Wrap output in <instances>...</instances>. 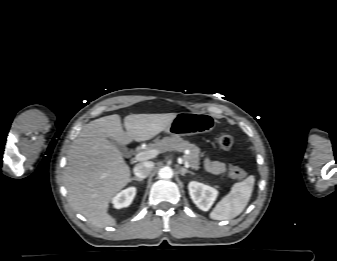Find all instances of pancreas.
I'll return each instance as SVG.
<instances>
[{
	"label": "pancreas",
	"mask_w": 337,
	"mask_h": 261,
	"mask_svg": "<svg viewBox=\"0 0 337 261\" xmlns=\"http://www.w3.org/2000/svg\"><path fill=\"white\" fill-rule=\"evenodd\" d=\"M151 148L158 149L159 151H178L183 152L189 150V154L184 155L183 161L188 162L192 169H199L200 165V149L189 141L183 140L179 136L166 137L162 140L156 141L150 145Z\"/></svg>",
	"instance_id": "obj_1"
}]
</instances>
